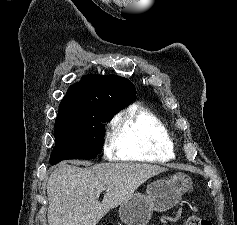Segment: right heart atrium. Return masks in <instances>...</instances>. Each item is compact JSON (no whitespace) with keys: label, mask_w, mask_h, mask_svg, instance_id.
<instances>
[{"label":"right heart atrium","mask_w":237,"mask_h":225,"mask_svg":"<svg viewBox=\"0 0 237 225\" xmlns=\"http://www.w3.org/2000/svg\"><path fill=\"white\" fill-rule=\"evenodd\" d=\"M104 153L107 157L113 158L114 151H115V141H114V134L110 130V127L106 130L104 136Z\"/></svg>","instance_id":"d8ad5b80"}]
</instances>
